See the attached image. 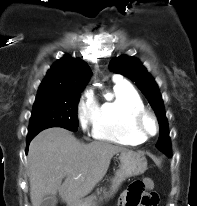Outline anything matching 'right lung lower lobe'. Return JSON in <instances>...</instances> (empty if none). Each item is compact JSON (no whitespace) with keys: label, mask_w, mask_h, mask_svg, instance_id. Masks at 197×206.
Segmentation results:
<instances>
[{"label":"right lung lower lobe","mask_w":197,"mask_h":206,"mask_svg":"<svg viewBox=\"0 0 197 206\" xmlns=\"http://www.w3.org/2000/svg\"><path fill=\"white\" fill-rule=\"evenodd\" d=\"M33 139V137L27 138V146H29L30 141Z\"/></svg>","instance_id":"obj_1"}]
</instances>
